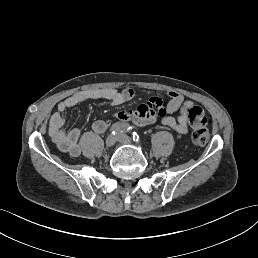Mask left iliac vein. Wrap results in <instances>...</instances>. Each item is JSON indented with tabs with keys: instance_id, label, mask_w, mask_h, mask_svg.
I'll return each mask as SVG.
<instances>
[{
	"instance_id": "obj_1",
	"label": "left iliac vein",
	"mask_w": 258,
	"mask_h": 258,
	"mask_svg": "<svg viewBox=\"0 0 258 258\" xmlns=\"http://www.w3.org/2000/svg\"><path fill=\"white\" fill-rule=\"evenodd\" d=\"M116 139H117V141L120 142V143H121V142L125 143V142L130 141L131 138H130V136H128V135H125V134H121V133H120V134H118V136H117Z\"/></svg>"
}]
</instances>
